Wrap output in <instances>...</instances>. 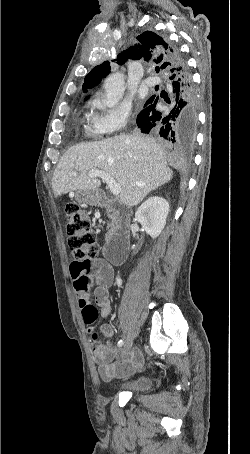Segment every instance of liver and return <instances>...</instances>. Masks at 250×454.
Here are the masks:
<instances>
[{
  "mask_svg": "<svg viewBox=\"0 0 250 454\" xmlns=\"http://www.w3.org/2000/svg\"><path fill=\"white\" fill-rule=\"evenodd\" d=\"M95 169L114 178L121 187L120 201L128 206L139 204L173 177L162 145L149 137L123 134L69 148L53 174L54 195L97 190L100 179L88 176Z\"/></svg>",
  "mask_w": 250,
  "mask_h": 454,
  "instance_id": "obj_1",
  "label": "liver"
}]
</instances>
